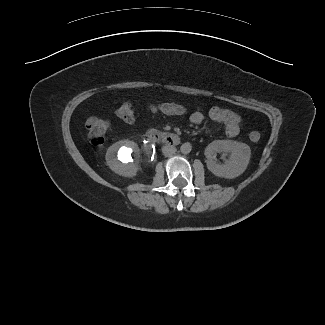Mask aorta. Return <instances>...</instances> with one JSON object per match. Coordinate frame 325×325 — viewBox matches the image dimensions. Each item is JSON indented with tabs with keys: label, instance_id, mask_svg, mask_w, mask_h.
<instances>
[{
	"label": "aorta",
	"instance_id": "aorta-1",
	"mask_svg": "<svg viewBox=\"0 0 325 325\" xmlns=\"http://www.w3.org/2000/svg\"><path fill=\"white\" fill-rule=\"evenodd\" d=\"M191 149H192V146H191L190 143H184V144H182L181 147H180V151H181V153H183V154H188V153H190V152H191Z\"/></svg>",
	"mask_w": 325,
	"mask_h": 325
}]
</instances>
